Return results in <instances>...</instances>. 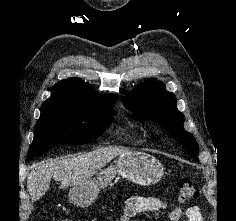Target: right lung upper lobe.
I'll list each match as a JSON object with an SVG mask.
<instances>
[{
	"mask_svg": "<svg viewBox=\"0 0 236 221\" xmlns=\"http://www.w3.org/2000/svg\"><path fill=\"white\" fill-rule=\"evenodd\" d=\"M115 102L113 94L101 95L92 86L76 78L62 80L55 84L51 96L42 105L94 108L111 106Z\"/></svg>",
	"mask_w": 236,
	"mask_h": 221,
	"instance_id": "1",
	"label": "right lung upper lobe"
}]
</instances>
